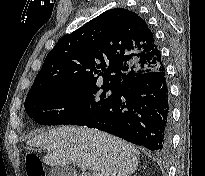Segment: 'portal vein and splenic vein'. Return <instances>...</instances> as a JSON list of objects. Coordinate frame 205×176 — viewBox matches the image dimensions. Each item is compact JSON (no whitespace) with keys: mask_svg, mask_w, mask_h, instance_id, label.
I'll return each mask as SVG.
<instances>
[{"mask_svg":"<svg viewBox=\"0 0 205 176\" xmlns=\"http://www.w3.org/2000/svg\"><path fill=\"white\" fill-rule=\"evenodd\" d=\"M82 171H86L87 167L84 164H78Z\"/></svg>","mask_w":205,"mask_h":176,"instance_id":"18ae733b","label":"portal vein and splenic vein"}]
</instances>
